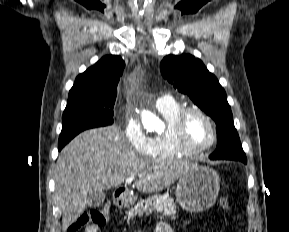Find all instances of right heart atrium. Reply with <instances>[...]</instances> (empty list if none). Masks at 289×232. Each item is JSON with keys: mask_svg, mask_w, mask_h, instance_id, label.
Returning a JSON list of instances; mask_svg holds the SVG:
<instances>
[{"mask_svg": "<svg viewBox=\"0 0 289 232\" xmlns=\"http://www.w3.org/2000/svg\"><path fill=\"white\" fill-rule=\"evenodd\" d=\"M123 131L130 147L140 155L151 152V138L143 131L140 122L133 116L125 117Z\"/></svg>", "mask_w": 289, "mask_h": 232, "instance_id": "obj_1", "label": "right heart atrium"}]
</instances>
